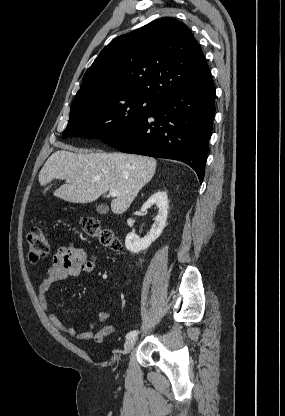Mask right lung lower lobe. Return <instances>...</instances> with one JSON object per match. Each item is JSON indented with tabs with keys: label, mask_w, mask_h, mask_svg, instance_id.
<instances>
[{
	"label": "right lung lower lobe",
	"mask_w": 285,
	"mask_h": 416,
	"mask_svg": "<svg viewBox=\"0 0 285 416\" xmlns=\"http://www.w3.org/2000/svg\"><path fill=\"white\" fill-rule=\"evenodd\" d=\"M214 115L211 79L162 101L140 121L102 141L122 152L182 161L202 183Z\"/></svg>",
	"instance_id": "right-lung-lower-lobe-1"
}]
</instances>
